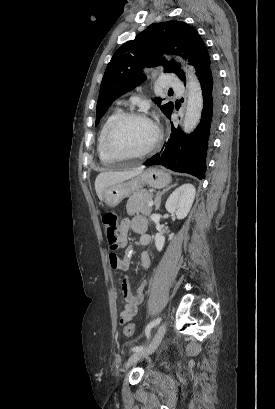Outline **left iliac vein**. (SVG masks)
<instances>
[{
    "label": "left iliac vein",
    "instance_id": "obj_1",
    "mask_svg": "<svg viewBox=\"0 0 275 409\" xmlns=\"http://www.w3.org/2000/svg\"><path fill=\"white\" fill-rule=\"evenodd\" d=\"M166 332V324L162 323L155 331V334L150 342V344L137 352H134L128 359L125 368L128 369L129 367L133 366L137 361H139L140 359L147 357L149 355H151L152 353L155 352V350L158 348V346L160 345L164 335Z\"/></svg>",
    "mask_w": 275,
    "mask_h": 409
}]
</instances>
